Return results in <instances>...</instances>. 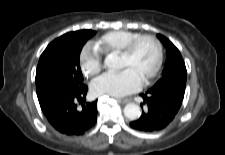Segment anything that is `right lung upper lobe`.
<instances>
[{"instance_id": "obj_1", "label": "right lung upper lobe", "mask_w": 225, "mask_h": 155, "mask_svg": "<svg viewBox=\"0 0 225 155\" xmlns=\"http://www.w3.org/2000/svg\"><path fill=\"white\" fill-rule=\"evenodd\" d=\"M75 32H78V33H91L92 31L91 30H81V31H75Z\"/></svg>"}]
</instances>
